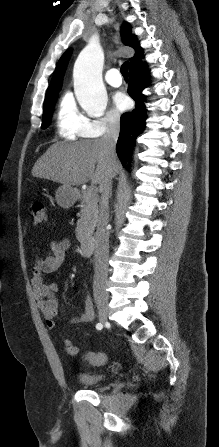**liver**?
<instances>
[{
	"mask_svg": "<svg viewBox=\"0 0 219 447\" xmlns=\"http://www.w3.org/2000/svg\"><path fill=\"white\" fill-rule=\"evenodd\" d=\"M119 167L117 157L109 165L102 139L57 142L36 161L32 175L65 186H78L89 180L100 185L109 175L112 179Z\"/></svg>",
	"mask_w": 219,
	"mask_h": 447,
	"instance_id": "6515ba94",
	"label": "liver"
}]
</instances>
